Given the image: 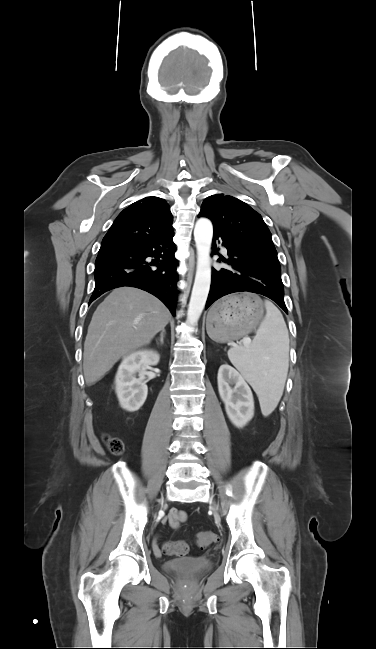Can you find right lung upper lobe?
<instances>
[{"label":"right lung upper lobe","mask_w":376,"mask_h":649,"mask_svg":"<svg viewBox=\"0 0 376 649\" xmlns=\"http://www.w3.org/2000/svg\"><path fill=\"white\" fill-rule=\"evenodd\" d=\"M173 216L165 200L146 197L124 209L103 238L99 253L127 248L173 232Z\"/></svg>","instance_id":"cb5924a9"}]
</instances>
